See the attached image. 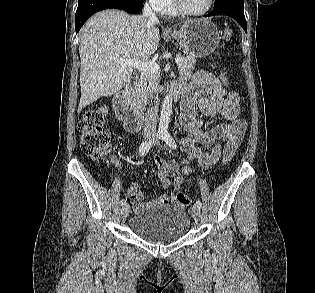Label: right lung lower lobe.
I'll list each match as a JSON object with an SVG mask.
<instances>
[{"label": "right lung lower lobe", "instance_id": "obj_1", "mask_svg": "<svg viewBox=\"0 0 315 293\" xmlns=\"http://www.w3.org/2000/svg\"><path fill=\"white\" fill-rule=\"evenodd\" d=\"M143 2L144 0H78L75 14L76 32L80 30L90 16L100 10L115 8L135 14L142 10Z\"/></svg>", "mask_w": 315, "mask_h": 293}]
</instances>
